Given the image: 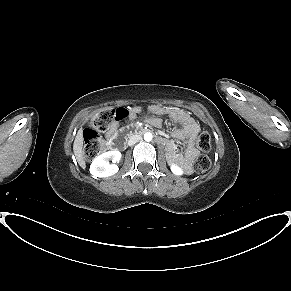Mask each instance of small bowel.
Segmentation results:
<instances>
[{
  "label": "small bowel",
  "mask_w": 291,
  "mask_h": 291,
  "mask_svg": "<svg viewBox=\"0 0 291 291\" xmlns=\"http://www.w3.org/2000/svg\"><path fill=\"white\" fill-rule=\"evenodd\" d=\"M148 111L155 115H166L172 120L180 124V128L175 129L172 132L173 137L182 140L186 143L185 154L182 156L176 147L169 141H163L167 146V152L169 158L178 164H180L186 173L191 171V163L197 157L198 151L194 146V140L199 131V125L190 116V114L182 109L162 107L152 105L148 107ZM141 112L140 107H134L128 110V118L135 119ZM147 122L153 126H160L161 121L157 117H148ZM120 126V120L114 121L109 130L107 131L106 138L109 142L113 141L117 135L118 128Z\"/></svg>",
  "instance_id": "small-bowel-1"
}]
</instances>
